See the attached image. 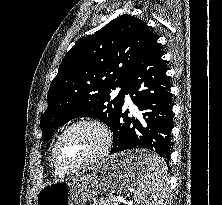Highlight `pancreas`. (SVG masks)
<instances>
[{
  "instance_id": "obj_1",
  "label": "pancreas",
  "mask_w": 222,
  "mask_h": 205,
  "mask_svg": "<svg viewBox=\"0 0 222 205\" xmlns=\"http://www.w3.org/2000/svg\"><path fill=\"white\" fill-rule=\"evenodd\" d=\"M92 205H120L117 198L109 196L108 198H101L99 201H94Z\"/></svg>"
}]
</instances>
